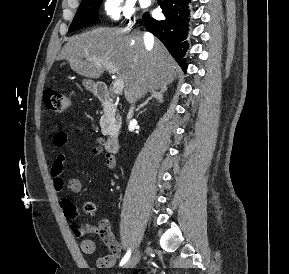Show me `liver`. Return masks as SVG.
<instances>
[{
	"mask_svg": "<svg viewBox=\"0 0 289 274\" xmlns=\"http://www.w3.org/2000/svg\"><path fill=\"white\" fill-rule=\"evenodd\" d=\"M57 60H67L73 71L92 79L100 78L107 64L115 65L128 102L166 87L179 69L159 40L145 44L138 31L103 27L70 37Z\"/></svg>",
	"mask_w": 289,
	"mask_h": 274,
	"instance_id": "obj_1",
	"label": "liver"
}]
</instances>
